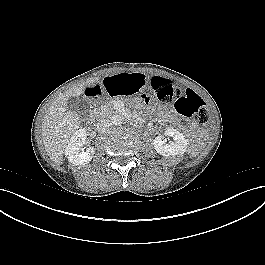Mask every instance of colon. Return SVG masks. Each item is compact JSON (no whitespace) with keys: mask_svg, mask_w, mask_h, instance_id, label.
I'll use <instances>...</instances> for the list:
<instances>
[{"mask_svg":"<svg viewBox=\"0 0 265 265\" xmlns=\"http://www.w3.org/2000/svg\"><path fill=\"white\" fill-rule=\"evenodd\" d=\"M152 88L157 100L164 105L173 104L176 111L186 117H194L202 127L211 125L210 113L203 99L191 89H184L180 84L163 77L152 80ZM151 101L150 96H145Z\"/></svg>","mask_w":265,"mask_h":265,"instance_id":"colon-1","label":"colon"}]
</instances>
